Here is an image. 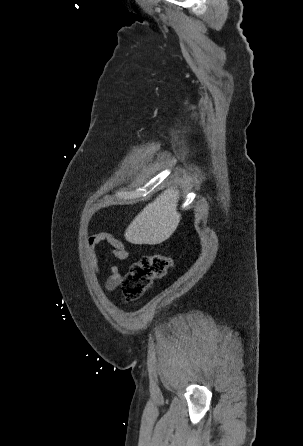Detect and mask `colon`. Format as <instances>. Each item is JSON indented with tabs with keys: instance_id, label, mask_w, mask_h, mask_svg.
I'll return each instance as SVG.
<instances>
[{
	"instance_id": "1",
	"label": "colon",
	"mask_w": 303,
	"mask_h": 446,
	"mask_svg": "<svg viewBox=\"0 0 303 446\" xmlns=\"http://www.w3.org/2000/svg\"><path fill=\"white\" fill-rule=\"evenodd\" d=\"M172 261L162 254L146 255L133 262L123 279V294L128 300L139 299L149 285L162 278Z\"/></svg>"
}]
</instances>
